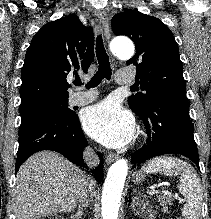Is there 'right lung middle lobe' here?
I'll return each instance as SVG.
<instances>
[{"label":"right lung middle lobe","mask_w":211,"mask_h":219,"mask_svg":"<svg viewBox=\"0 0 211 219\" xmlns=\"http://www.w3.org/2000/svg\"><path fill=\"white\" fill-rule=\"evenodd\" d=\"M68 98H46L30 101L20 105L21 122L44 114H56L69 117L74 112L67 107Z\"/></svg>","instance_id":"dd1d6c3e"}]
</instances>
